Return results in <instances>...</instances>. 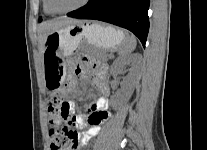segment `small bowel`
I'll return each mask as SVG.
<instances>
[{"instance_id": "obj_1", "label": "small bowel", "mask_w": 207, "mask_h": 150, "mask_svg": "<svg viewBox=\"0 0 207 150\" xmlns=\"http://www.w3.org/2000/svg\"><path fill=\"white\" fill-rule=\"evenodd\" d=\"M90 67L94 72V83L103 94V97L99 98L95 102L89 105L86 115H75L74 109L75 105L72 101L70 102V107H67L70 116V127L72 129H86L83 133H78V146H84L85 150H89L90 146L86 145L89 140L98 134L100 126L108 120L110 114L108 112V100L106 96L109 93V87L107 84L106 71L105 69L94 62H88ZM75 75L79 77H84L87 75V70L78 66L75 70ZM75 85L74 77L69 79V87L73 88ZM61 99H63L61 97Z\"/></svg>"}]
</instances>
